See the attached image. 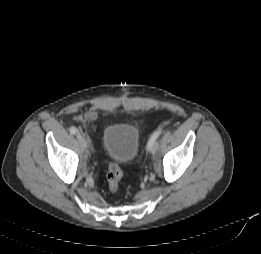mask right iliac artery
Returning <instances> with one entry per match:
<instances>
[{"label": "right iliac artery", "instance_id": "1", "mask_svg": "<svg viewBox=\"0 0 261 254\" xmlns=\"http://www.w3.org/2000/svg\"><path fill=\"white\" fill-rule=\"evenodd\" d=\"M69 131H70L71 134H76L77 133V129L75 127H73V126L70 127Z\"/></svg>", "mask_w": 261, "mask_h": 254}]
</instances>
